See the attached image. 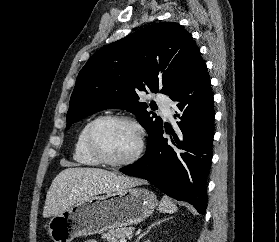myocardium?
<instances>
[{
	"instance_id": "f54148a6",
	"label": "myocardium",
	"mask_w": 279,
	"mask_h": 242,
	"mask_svg": "<svg viewBox=\"0 0 279 242\" xmlns=\"http://www.w3.org/2000/svg\"><path fill=\"white\" fill-rule=\"evenodd\" d=\"M105 122H123L134 127L138 135V144L136 150L130 157L123 160H113L103 152L97 141V131ZM87 145L92 155L102 164L112 167L128 166L135 163L142 155L145 146V132L141 124L133 117L116 114L104 115L96 118L91 123L87 133Z\"/></svg>"
}]
</instances>
